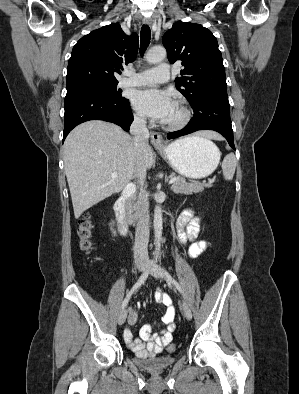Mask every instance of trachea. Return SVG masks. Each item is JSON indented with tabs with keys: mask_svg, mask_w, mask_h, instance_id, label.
I'll return each instance as SVG.
<instances>
[{
	"mask_svg": "<svg viewBox=\"0 0 299 394\" xmlns=\"http://www.w3.org/2000/svg\"><path fill=\"white\" fill-rule=\"evenodd\" d=\"M141 44H140V54L143 56L144 52L146 51L150 39H151V30L148 25H143L141 28Z\"/></svg>",
	"mask_w": 299,
	"mask_h": 394,
	"instance_id": "obj_1",
	"label": "trachea"
}]
</instances>
